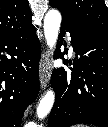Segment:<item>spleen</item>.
Wrapping results in <instances>:
<instances>
[{
  "label": "spleen",
  "mask_w": 108,
  "mask_h": 127,
  "mask_svg": "<svg viewBox=\"0 0 108 127\" xmlns=\"http://www.w3.org/2000/svg\"><path fill=\"white\" fill-rule=\"evenodd\" d=\"M74 127H88L87 125H83V124H78V125H75Z\"/></svg>",
  "instance_id": "1"
}]
</instances>
